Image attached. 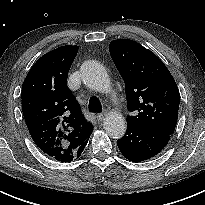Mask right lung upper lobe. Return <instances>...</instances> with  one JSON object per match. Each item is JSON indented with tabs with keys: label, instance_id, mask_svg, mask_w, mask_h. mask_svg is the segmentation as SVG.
Returning <instances> with one entry per match:
<instances>
[{
	"label": "right lung upper lobe",
	"instance_id": "cb5924a9",
	"mask_svg": "<svg viewBox=\"0 0 205 205\" xmlns=\"http://www.w3.org/2000/svg\"><path fill=\"white\" fill-rule=\"evenodd\" d=\"M78 46L54 49L32 66L22 86V111L35 144L49 157L70 162L93 130L67 86Z\"/></svg>",
	"mask_w": 205,
	"mask_h": 205
}]
</instances>
